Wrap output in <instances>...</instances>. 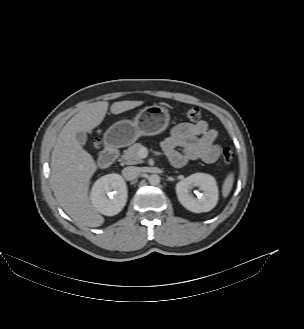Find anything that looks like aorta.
Returning <instances> with one entry per match:
<instances>
[{"mask_svg": "<svg viewBox=\"0 0 304 329\" xmlns=\"http://www.w3.org/2000/svg\"><path fill=\"white\" fill-rule=\"evenodd\" d=\"M148 182L151 185H158L160 183V177L157 174H152L148 177Z\"/></svg>", "mask_w": 304, "mask_h": 329, "instance_id": "762f6f07", "label": "aorta"}]
</instances>
